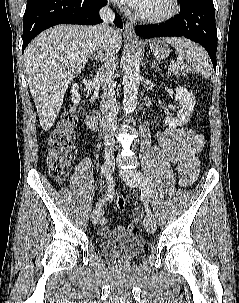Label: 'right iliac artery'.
I'll return each instance as SVG.
<instances>
[{
  "label": "right iliac artery",
  "mask_w": 239,
  "mask_h": 303,
  "mask_svg": "<svg viewBox=\"0 0 239 303\" xmlns=\"http://www.w3.org/2000/svg\"><path fill=\"white\" fill-rule=\"evenodd\" d=\"M101 172L104 174L105 178H107V182H109L108 192L96 203L95 210L100 209L110 198H112V194L114 193V185L116 184V179L111 176L115 175L114 171H107L106 165L101 167Z\"/></svg>",
  "instance_id": "obj_1"
}]
</instances>
